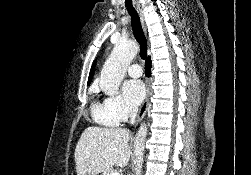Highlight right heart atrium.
Segmentation results:
<instances>
[{
    "instance_id": "1",
    "label": "right heart atrium",
    "mask_w": 251,
    "mask_h": 175,
    "mask_svg": "<svg viewBox=\"0 0 251 175\" xmlns=\"http://www.w3.org/2000/svg\"><path fill=\"white\" fill-rule=\"evenodd\" d=\"M102 106L108 118L116 124L128 121L136 116V109L130 106L119 94L103 99Z\"/></svg>"
}]
</instances>
